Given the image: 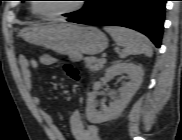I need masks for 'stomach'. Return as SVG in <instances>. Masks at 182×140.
I'll list each match as a JSON object with an SVG mask.
<instances>
[{"label":"stomach","instance_id":"0dacf381","mask_svg":"<svg viewBox=\"0 0 182 140\" xmlns=\"http://www.w3.org/2000/svg\"><path fill=\"white\" fill-rule=\"evenodd\" d=\"M21 35L29 43L62 55H96L108 45L106 35L95 27L70 23H47L26 27Z\"/></svg>","mask_w":182,"mask_h":140}]
</instances>
